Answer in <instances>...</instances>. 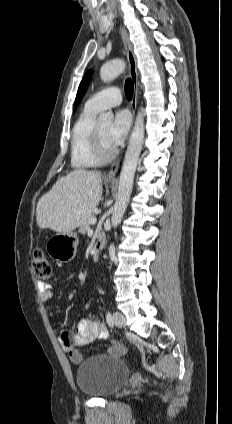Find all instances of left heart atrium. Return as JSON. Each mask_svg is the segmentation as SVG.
I'll list each match as a JSON object with an SVG mask.
<instances>
[{"mask_svg":"<svg viewBox=\"0 0 232 424\" xmlns=\"http://www.w3.org/2000/svg\"><path fill=\"white\" fill-rule=\"evenodd\" d=\"M131 126V117L125 110L116 113L110 125L108 140L113 148L120 145L126 138Z\"/></svg>","mask_w":232,"mask_h":424,"instance_id":"1","label":"left heart atrium"}]
</instances>
